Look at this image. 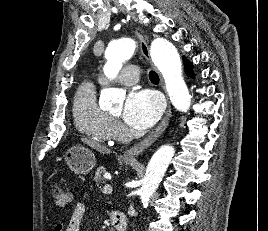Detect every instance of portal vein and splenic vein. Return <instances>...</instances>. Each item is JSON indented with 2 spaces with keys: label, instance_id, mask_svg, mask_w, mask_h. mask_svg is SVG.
Masks as SVG:
<instances>
[{
  "label": "portal vein and splenic vein",
  "instance_id": "obj_1",
  "mask_svg": "<svg viewBox=\"0 0 268 231\" xmlns=\"http://www.w3.org/2000/svg\"><path fill=\"white\" fill-rule=\"evenodd\" d=\"M113 191L112 186L110 184H106L103 188V192L105 194H111Z\"/></svg>",
  "mask_w": 268,
  "mask_h": 231
}]
</instances>
